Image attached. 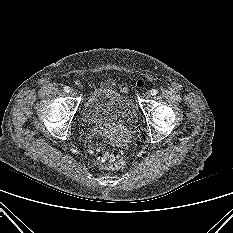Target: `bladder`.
<instances>
[{"label":"bladder","mask_w":233,"mask_h":233,"mask_svg":"<svg viewBox=\"0 0 233 233\" xmlns=\"http://www.w3.org/2000/svg\"><path fill=\"white\" fill-rule=\"evenodd\" d=\"M82 118L88 124L132 125L137 111L132 100L111 87L94 90L86 100Z\"/></svg>","instance_id":"obj_1"}]
</instances>
